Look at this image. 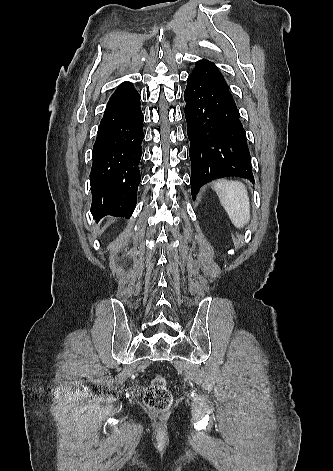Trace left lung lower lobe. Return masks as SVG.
<instances>
[{
    "label": "left lung lower lobe",
    "instance_id": "0a47b994",
    "mask_svg": "<svg viewBox=\"0 0 333 471\" xmlns=\"http://www.w3.org/2000/svg\"><path fill=\"white\" fill-rule=\"evenodd\" d=\"M190 140L191 191L219 177L253 181L251 157L239 110L225 79L212 62L196 63L184 91Z\"/></svg>",
    "mask_w": 333,
    "mask_h": 471
}]
</instances>
